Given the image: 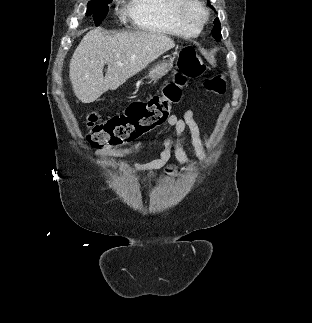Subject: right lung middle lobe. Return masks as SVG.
I'll return each mask as SVG.
<instances>
[{
  "label": "right lung middle lobe",
  "instance_id": "obj_1",
  "mask_svg": "<svg viewBox=\"0 0 312 323\" xmlns=\"http://www.w3.org/2000/svg\"><path fill=\"white\" fill-rule=\"evenodd\" d=\"M112 0H108L105 2H100L96 0H92L87 5L86 15H92L96 25H100V23L104 20L108 13V3Z\"/></svg>",
  "mask_w": 312,
  "mask_h": 323
}]
</instances>
